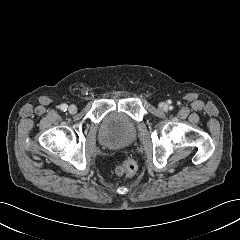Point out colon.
<instances>
[{"label":"colon","mask_w":240,"mask_h":240,"mask_svg":"<svg viewBox=\"0 0 240 240\" xmlns=\"http://www.w3.org/2000/svg\"><path fill=\"white\" fill-rule=\"evenodd\" d=\"M137 171V164L132 159H124L115 167V173L120 177H132Z\"/></svg>","instance_id":"obj_1"}]
</instances>
